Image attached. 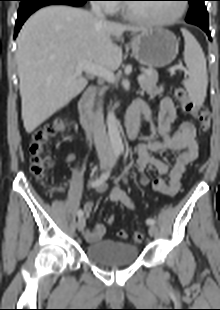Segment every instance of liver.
I'll use <instances>...</instances> for the list:
<instances>
[{
	"label": "liver",
	"mask_w": 220,
	"mask_h": 310,
	"mask_svg": "<svg viewBox=\"0 0 220 310\" xmlns=\"http://www.w3.org/2000/svg\"><path fill=\"white\" fill-rule=\"evenodd\" d=\"M125 31L145 29L97 18L69 6H49L33 14L17 39L16 62L27 133L33 132L80 94L88 80L77 71L87 61L110 71L122 62L114 43Z\"/></svg>",
	"instance_id": "6515ba94"
}]
</instances>
